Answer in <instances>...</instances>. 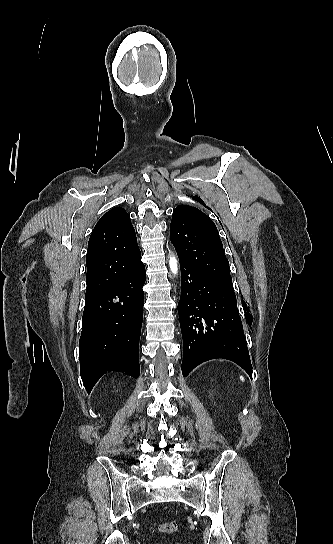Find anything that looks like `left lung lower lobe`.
<instances>
[{
    "label": "left lung lower lobe",
    "mask_w": 333,
    "mask_h": 544,
    "mask_svg": "<svg viewBox=\"0 0 333 544\" xmlns=\"http://www.w3.org/2000/svg\"><path fill=\"white\" fill-rule=\"evenodd\" d=\"M180 269L178 313L183 337V376L215 358L231 360L251 376L252 365L236 298L186 263L180 261Z\"/></svg>",
    "instance_id": "left-lung-lower-lobe-1"
}]
</instances>
